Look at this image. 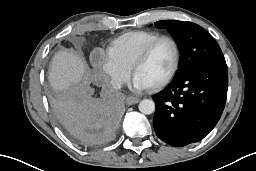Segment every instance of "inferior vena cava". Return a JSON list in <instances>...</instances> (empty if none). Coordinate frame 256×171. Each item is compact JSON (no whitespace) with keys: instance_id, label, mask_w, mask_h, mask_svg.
I'll return each mask as SVG.
<instances>
[{"instance_id":"1","label":"inferior vena cava","mask_w":256,"mask_h":171,"mask_svg":"<svg viewBox=\"0 0 256 171\" xmlns=\"http://www.w3.org/2000/svg\"><path fill=\"white\" fill-rule=\"evenodd\" d=\"M111 85L114 89L118 90L122 87V82L120 80H117V79H112L111 80Z\"/></svg>"}]
</instances>
